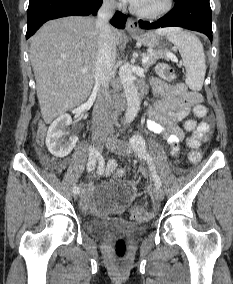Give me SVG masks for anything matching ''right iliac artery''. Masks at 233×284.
I'll list each match as a JSON object with an SVG mask.
<instances>
[{"label":"right iliac artery","mask_w":233,"mask_h":284,"mask_svg":"<svg viewBox=\"0 0 233 284\" xmlns=\"http://www.w3.org/2000/svg\"><path fill=\"white\" fill-rule=\"evenodd\" d=\"M101 157V155L98 153V151L96 149H94V147H91L89 149V160L87 163V171L90 172L92 170H94L95 168V162H97V158ZM98 168H104V167H98ZM79 186H74L73 188V193L77 194L79 193Z\"/></svg>","instance_id":"1"}]
</instances>
